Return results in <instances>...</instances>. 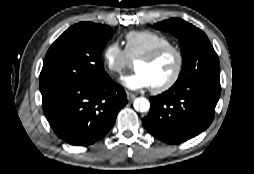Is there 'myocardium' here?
Wrapping results in <instances>:
<instances>
[{
  "label": "myocardium",
  "instance_id": "myocardium-1",
  "mask_svg": "<svg viewBox=\"0 0 254 174\" xmlns=\"http://www.w3.org/2000/svg\"><path fill=\"white\" fill-rule=\"evenodd\" d=\"M167 52H173L175 54L176 59H177L176 68H175L173 75L171 76V78L168 81H166L165 83H163L159 86L152 87V90L155 93H162V92L168 91L177 83V81L179 80V78L181 76L183 66H184L183 52L178 46H176L174 44H168V45H164V46L154 49L153 51L142 56L139 59V61L151 63V62L156 61L158 58H160L162 55H164Z\"/></svg>",
  "mask_w": 254,
  "mask_h": 174
}]
</instances>
